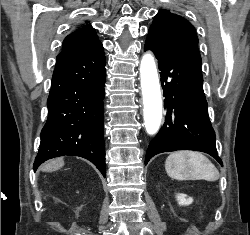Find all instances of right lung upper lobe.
Here are the masks:
<instances>
[{
	"label": "right lung upper lobe",
	"mask_w": 250,
	"mask_h": 235,
	"mask_svg": "<svg viewBox=\"0 0 250 235\" xmlns=\"http://www.w3.org/2000/svg\"><path fill=\"white\" fill-rule=\"evenodd\" d=\"M99 42L95 30L90 24H86V26L77 29L64 39L62 51L58 54L57 59L67 55L77 54L85 48L98 44Z\"/></svg>",
	"instance_id": "1"
}]
</instances>
